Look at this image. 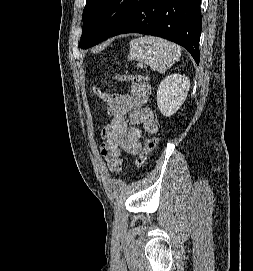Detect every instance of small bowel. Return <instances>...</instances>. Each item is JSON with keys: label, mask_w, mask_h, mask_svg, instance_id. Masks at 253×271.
Returning a JSON list of instances; mask_svg holds the SVG:
<instances>
[{"label": "small bowel", "mask_w": 253, "mask_h": 271, "mask_svg": "<svg viewBox=\"0 0 253 271\" xmlns=\"http://www.w3.org/2000/svg\"><path fill=\"white\" fill-rule=\"evenodd\" d=\"M127 81L131 89L129 94L102 95L111 121L102 128L100 151L114 171L121 169L125 161L124 153L130 156L140 154L143 132H158L153 110L146 106L151 95L150 84L133 78Z\"/></svg>", "instance_id": "small-bowel-1"}]
</instances>
